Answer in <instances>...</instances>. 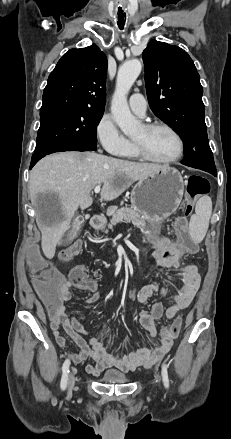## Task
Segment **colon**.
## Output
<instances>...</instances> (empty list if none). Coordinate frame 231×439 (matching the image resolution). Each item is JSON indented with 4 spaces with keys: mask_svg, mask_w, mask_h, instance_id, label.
<instances>
[{
    "mask_svg": "<svg viewBox=\"0 0 231 439\" xmlns=\"http://www.w3.org/2000/svg\"><path fill=\"white\" fill-rule=\"evenodd\" d=\"M208 181L200 176H190L188 178L187 193L188 202L185 206V216L180 217L175 222V228L178 233L179 244L182 250L178 251V254L174 256L172 262L178 264L186 262L188 260V254H194L197 250L196 245L188 231L186 217L191 213L194 202L209 191ZM82 243L77 241L68 246L61 254V258L64 261L71 260L80 251ZM43 254V251L37 245L31 246L28 250V255L32 256L30 259H26V268H32L34 271L33 284L38 296H41L42 305L46 309V316L55 320L58 317L57 311L60 307L58 301V289L62 281L61 274H58L55 270L51 269V261L47 259ZM40 256V257H38ZM164 271H170V266H164ZM156 274L162 273L161 267L155 268ZM70 279L72 282L83 290L95 291L98 289V284L95 280L91 279L86 269L79 265L72 269L70 273ZM145 283H164L161 279H157L154 282ZM139 286L136 287L138 289ZM135 289V290H136ZM181 320L176 319L173 324L162 331V337L168 340L175 339L181 328Z\"/></svg>",
    "mask_w": 231,
    "mask_h": 439,
    "instance_id": "5ec220e1",
    "label": "colon"
}]
</instances>
